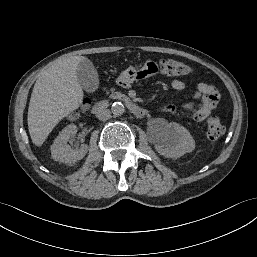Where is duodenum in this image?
Instances as JSON below:
<instances>
[{
    "label": "duodenum",
    "mask_w": 257,
    "mask_h": 257,
    "mask_svg": "<svg viewBox=\"0 0 257 257\" xmlns=\"http://www.w3.org/2000/svg\"><path fill=\"white\" fill-rule=\"evenodd\" d=\"M115 98L122 101L127 106V108L130 110V112L133 115H135L136 117L144 118L147 115V110L146 109H144L140 105L136 104L135 102H133L128 97H125V96H122V95H116ZM108 105H109L108 100L99 101L95 104V106L93 108V111L95 113H98V112L104 110L105 108H107Z\"/></svg>",
    "instance_id": "1"
}]
</instances>
